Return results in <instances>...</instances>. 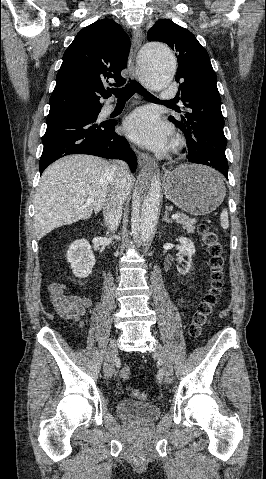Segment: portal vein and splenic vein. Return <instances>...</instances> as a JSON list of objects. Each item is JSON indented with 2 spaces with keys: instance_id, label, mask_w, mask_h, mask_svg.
<instances>
[{
  "instance_id": "1",
  "label": "portal vein and splenic vein",
  "mask_w": 266,
  "mask_h": 479,
  "mask_svg": "<svg viewBox=\"0 0 266 479\" xmlns=\"http://www.w3.org/2000/svg\"><path fill=\"white\" fill-rule=\"evenodd\" d=\"M93 202H94V200L92 198H87V203H93ZM178 218H179L178 214H173L172 215V219L175 220V219H178Z\"/></svg>"
}]
</instances>
